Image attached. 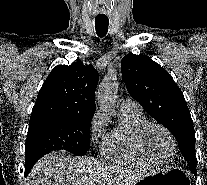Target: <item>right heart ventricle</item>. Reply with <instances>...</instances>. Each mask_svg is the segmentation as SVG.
<instances>
[{
  "label": "right heart ventricle",
  "mask_w": 207,
  "mask_h": 185,
  "mask_svg": "<svg viewBox=\"0 0 207 185\" xmlns=\"http://www.w3.org/2000/svg\"><path fill=\"white\" fill-rule=\"evenodd\" d=\"M147 122L141 112L121 110L119 125L103 139V155L113 162L124 165L155 164V161L143 152L138 140L139 131Z\"/></svg>",
  "instance_id": "obj_1"
}]
</instances>
